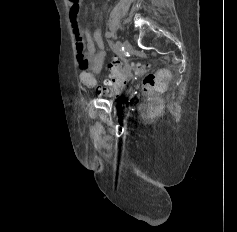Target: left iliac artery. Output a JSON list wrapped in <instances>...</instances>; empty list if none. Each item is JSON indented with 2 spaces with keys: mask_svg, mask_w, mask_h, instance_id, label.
Wrapping results in <instances>:
<instances>
[{
  "mask_svg": "<svg viewBox=\"0 0 237 232\" xmlns=\"http://www.w3.org/2000/svg\"><path fill=\"white\" fill-rule=\"evenodd\" d=\"M105 36H106L107 38H110V37L113 36V33H111V32H107V33L105 34Z\"/></svg>",
  "mask_w": 237,
  "mask_h": 232,
  "instance_id": "44dca946",
  "label": "left iliac artery"
}]
</instances>
